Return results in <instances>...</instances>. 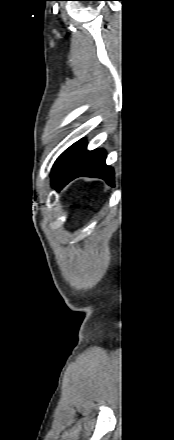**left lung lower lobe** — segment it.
<instances>
[{"label": "left lung lower lobe", "instance_id": "0a47b994", "mask_svg": "<svg viewBox=\"0 0 174 440\" xmlns=\"http://www.w3.org/2000/svg\"><path fill=\"white\" fill-rule=\"evenodd\" d=\"M106 153L102 149L86 150L85 140H80L70 155L67 165L54 182V188L60 190L71 180L80 177H98L109 185L114 184L113 169L105 164Z\"/></svg>", "mask_w": 174, "mask_h": 440}]
</instances>
